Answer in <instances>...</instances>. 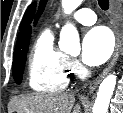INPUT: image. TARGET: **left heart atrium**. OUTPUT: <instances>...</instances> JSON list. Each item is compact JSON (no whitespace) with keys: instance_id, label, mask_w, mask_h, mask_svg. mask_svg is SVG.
<instances>
[{"instance_id":"1","label":"left heart atrium","mask_w":123,"mask_h":113,"mask_svg":"<svg viewBox=\"0 0 123 113\" xmlns=\"http://www.w3.org/2000/svg\"><path fill=\"white\" fill-rule=\"evenodd\" d=\"M82 59L90 66H96L109 59L114 41L111 32L105 27H95L86 32L82 43Z\"/></svg>"}]
</instances>
